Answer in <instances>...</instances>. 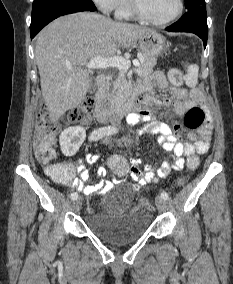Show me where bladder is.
I'll return each mask as SVG.
<instances>
[{
	"mask_svg": "<svg viewBox=\"0 0 233 284\" xmlns=\"http://www.w3.org/2000/svg\"><path fill=\"white\" fill-rule=\"evenodd\" d=\"M132 191L113 200L109 207H102L85 217L88 230L99 239L116 245L134 242L150 228L151 214L145 206L126 207L132 199ZM123 207L118 209L117 207Z\"/></svg>",
	"mask_w": 233,
	"mask_h": 284,
	"instance_id": "31cf9c89",
	"label": "bladder"
}]
</instances>
